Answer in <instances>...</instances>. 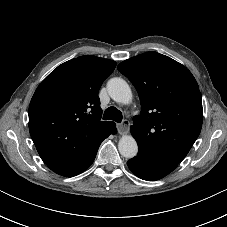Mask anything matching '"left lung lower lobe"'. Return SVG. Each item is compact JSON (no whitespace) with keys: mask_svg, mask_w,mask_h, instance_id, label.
<instances>
[{"mask_svg":"<svg viewBox=\"0 0 227 227\" xmlns=\"http://www.w3.org/2000/svg\"><path fill=\"white\" fill-rule=\"evenodd\" d=\"M127 165L136 176L147 181L159 180L177 167V165L159 161L142 152H138L136 157L127 162Z\"/></svg>","mask_w":227,"mask_h":227,"instance_id":"left-lung-lower-lobe-1","label":"left lung lower lobe"}]
</instances>
